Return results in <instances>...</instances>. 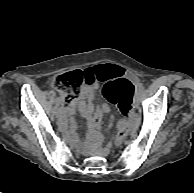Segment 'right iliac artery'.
Listing matches in <instances>:
<instances>
[{
    "instance_id": "1",
    "label": "right iliac artery",
    "mask_w": 194,
    "mask_h": 193,
    "mask_svg": "<svg viewBox=\"0 0 194 193\" xmlns=\"http://www.w3.org/2000/svg\"><path fill=\"white\" fill-rule=\"evenodd\" d=\"M60 93H61V92H60ZM60 95H61V97L59 98V101L61 102V100H62V98H63L62 93H61ZM59 114H62V108L59 109Z\"/></svg>"
}]
</instances>
